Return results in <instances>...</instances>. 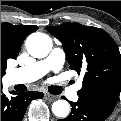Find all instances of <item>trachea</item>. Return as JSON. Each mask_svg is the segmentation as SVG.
<instances>
[{
  "instance_id": "trachea-1",
  "label": "trachea",
  "mask_w": 121,
  "mask_h": 121,
  "mask_svg": "<svg viewBox=\"0 0 121 121\" xmlns=\"http://www.w3.org/2000/svg\"><path fill=\"white\" fill-rule=\"evenodd\" d=\"M48 91L52 94H60L62 92V88L60 86H50Z\"/></svg>"
}]
</instances>
